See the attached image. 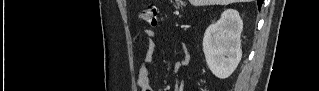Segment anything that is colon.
Returning <instances> with one entry per match:
<instances>
[{"mask_svg":"<svg viewBox=\"0 0 319 91\" xmlns=\"http://www.w3.org/2000/svg\"><path fill=\"white\" fill-rule=\"evenodd\" d=\"M157 9L155 4H149L140 13L141 20L152 28L158 26Z\"/></svg>","mask_w":319,"mask_h":91,"instance_id":"1","label":"colon"}]
</instances>
